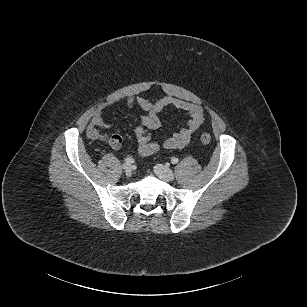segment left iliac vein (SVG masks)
<instances>
[{
    "label": "left iliac vein",
    "mask_w": 307,
    "mask_h": 307,
    "mask_svg": "<svg viewBox=\"0 0 307 307\" xmlns=\"http://www.w3.org/2000/svg\"><path fill=\"white\" fill-rule=\"evenodd\" d=\"M154 172L156 173V175L161 178L162 180L168 182L170 180H172L174 178V173L173 171L162 165V164H157L154 166Z\"/></svg>",
    "instance_id": "left-iliac-vein-1"
}]
</instances>
